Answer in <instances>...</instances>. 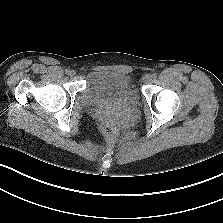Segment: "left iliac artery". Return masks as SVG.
<instances>
[{
	"label": "left iliac artery",
	"mask_w": 223,
	"mask_h": 223,
	"mask_svg": "<svg viewBox=\"0 0 223 223\" xmlns=\"http://www.w3.org/2000/svg\"><path fill=\"white\" fill-rule=\"evenodd\" d=\"M152 77H153V78H156V77H157V73H153V74H152Z\"/></svg>",
	"instance_id": "1"
}]
</instances>
